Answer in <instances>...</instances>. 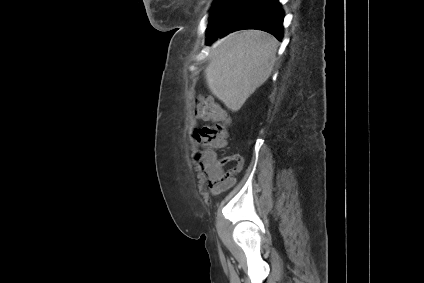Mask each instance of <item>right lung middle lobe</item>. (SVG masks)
<instances>
[{
    "instance_id": "dd1d6c3e",
    "label": "right lung middle lobe",
    "mask_w": 424,
    "mask_h": 283,
    "mask_svg": "<svg viewBox=\"0 0 424 283\" xmlns=\"http://www.w3.org/2000/svg\"><path fill=\"white\" fill-rule=\"evenodd\" d=\"M228 0H216L211 8L209 22L225 7Z\"/></svg>"
}]
</instances>
